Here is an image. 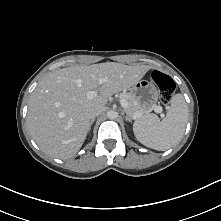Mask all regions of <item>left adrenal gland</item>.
<instances>
[{
  "mask_svg": "<svg viewBox=\"0 0 221 221\" xmlns=\"http://www.w3.org/2000/svg\"><path fill=\"white\" fill-rule=\"evenodd\" d=\"M125 120L129 121V122H132L131 118L128 115L125 116Z\"/></svg>",
  "mask_w": 221,
  "mask_h": 221,
  "instance_id": "a2214340",
  "label": "left adrenal gland"
}]
</instances>
